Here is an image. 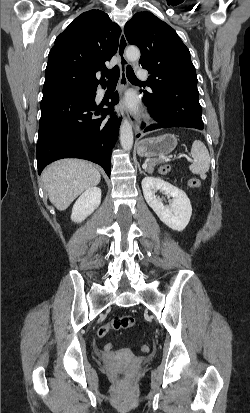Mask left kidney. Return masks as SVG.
Returning <instances> with one entry per match:
<instances>
[{"label": "left kidney", "instance_id": "1", "mask_svg": "<svg viewBox=\"0 0 250 413\" xmlns=\"http://www.w3.org/2000/svg\"><path fill=\"white\" fill-rule=\"evenodd\" d=\"M142 190L147 204L164 224L179 232L186 228L192 215V207L183 190L160 178L151 176H147L142 180ZM157 191L172 197V204L165 206L162 199L156 195Z\"/></svg>", "mask_w": 250, "mask_h": 413}]
</instances>
